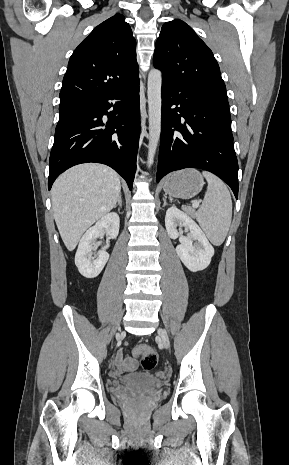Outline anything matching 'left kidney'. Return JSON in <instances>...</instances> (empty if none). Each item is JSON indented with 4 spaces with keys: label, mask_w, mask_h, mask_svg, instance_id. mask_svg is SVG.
<instances>
[{
    "label": "left kidney",
    "mask_w": 289,
    "mask_h": 465,
    "mask_svg": "<svg viewBox=\"0 0 289 465\" xmlns=\"http://www.w3.org/2000/svg\"><path fill=\"white\" fill-rule=\"evenodd\" d=\"M165 227L170 238L179 237L180 245L176 247V253L190 271H202L209 266L214 255V248L198 224L188 214L175 206L168 208ZM182 227L190 231L187 236L182 235Z\"/></svg>",
    "instance_id": "left-kidney-1"
}]
</instances>
